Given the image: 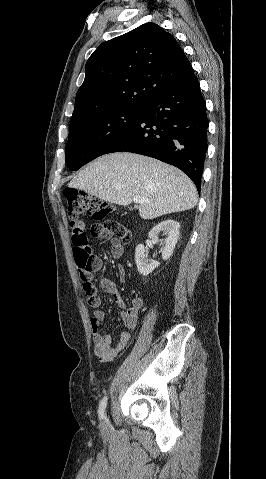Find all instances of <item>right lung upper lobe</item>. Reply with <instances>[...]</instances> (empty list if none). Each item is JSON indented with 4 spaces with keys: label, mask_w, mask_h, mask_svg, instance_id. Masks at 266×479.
I'll list each match as a JSON object with an SVG mask.
<instances>
[{
    "label": "right lung upper lobe",
    "mask_w": 266,
    "mask_h": 479,
    "mask_svg": "<svg viewBox=\"0 0 266 479\" xmlns=\"http://www.w3.org/2000/svg\"><path fill=\"white\" fill-rule=\"evenodd\" d=\"M72 120L144 107L161 91L194 75L176 39L155 23L102 43L90 56Z\"/></svg>",
    "instance_id": "obj_1"
}]
</instances>
